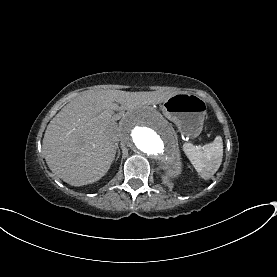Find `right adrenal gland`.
<instances>
[{
	"mask_svg": "<svg viewBox=\"0 0 277 277\" xmlns=\"http://www.w3.org/2000/svg\"><path fill=\"white\" fill-rule=\"evenodd\" d=\"M116 150H117V157L115 160L117 161L120 157V149H119L118 145H116Z\"/></svg>",
	"mask_w": 277,
	"mask_h": 277,
	"instance_id": "1",
	"label": "right adrenal gland"
}]
</instances>
